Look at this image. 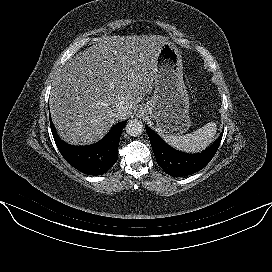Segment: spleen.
<instances>
[{
    "label": "spleen",
    "mask_w": 272,
    "mask_h": 272,
    "mask_svg": "<svg viewBox=\"0 0 272 272\" xmlns=\"http://www.w3.org/2000/svg\"><path fill=\"white\" fill-rule=\"evenodd\" d=\"M217 126L214 122H209L198 130L183 135H166L165 141L172 147L185 152H199L205 149L214 139Z\"/></svg>",
    "instance_id": "obj_1"
}]
</instances>
